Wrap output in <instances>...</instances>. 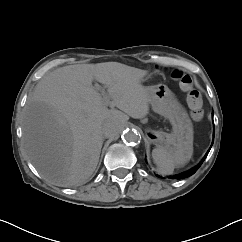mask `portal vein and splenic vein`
Wrapping results in <instances>:
<instances>
[{"label": "portal vein and splenic vein", "mask_w": 242, "mask_h": 242, "mask_svg": "<svg viewBox=\"0 0 242 242\" xmlns=\"http://www.w3.org/2000/svg\"><path fill=\"white\" fill-rule=\"evenodd\" d=\"M98 90L101 91L102 93V96H103V100H104V104L105 105H110V106H114L113 102L110 101V97L109 95L106 93L105 89L104 88H99L97 87Z\"/></svg>", "instance_id": "obj_1"}]
</instances>
